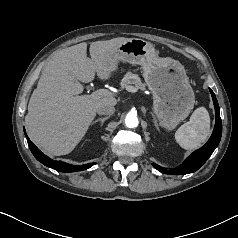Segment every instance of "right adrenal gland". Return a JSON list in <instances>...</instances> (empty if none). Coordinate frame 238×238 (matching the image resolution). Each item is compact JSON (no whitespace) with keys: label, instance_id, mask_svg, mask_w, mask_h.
I'll return each mask as SVG.
<instances>
[{"label":"right adrenal gland","instance_id":"1","mask_svg":"<svg viewBox=\"0 0 238 238\" xmlns=\"http://www.w3.org/2000/svg\"><path fill=\"white\" fill-rule=\"evenodd\" d=\"M109 118V116L103 117V118H98L95 121L92 122V125L96 122H101V126L104 124V122Z\"/></svg>","mask_w":238,"mask_h":238}]
</instances>
